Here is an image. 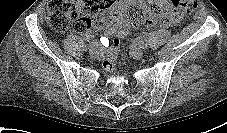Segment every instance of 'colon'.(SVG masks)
I'll return each instance as SVG.
<instances>
[{
    "label": "colon",
    "mask_w": 227,
    "mask_h": 133,
    "mask_svg": "<svg viewBox=\"0 0 227 133\" xmlns=\"http://www.w3.org/2000/svg\"><path fill=\"white\" fill-rule=\"evenodd\" d=\"M169 2L176 16H188L197 7L196 0H169ZM116 3L118 0H49L47 21L57 32H64L69 28L83 32L92 27V16L104 15ZM128 13L132 22L136 24L148 25L166 18V13L162 12L158 5H151L148 11L141 5H130ZM119 46V40L114 39L104 61L106 69L114 68Z\"/></svg>",
    "instance_id": "obj_1"
}]
</instances>
